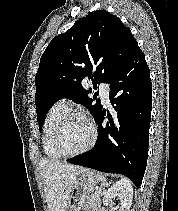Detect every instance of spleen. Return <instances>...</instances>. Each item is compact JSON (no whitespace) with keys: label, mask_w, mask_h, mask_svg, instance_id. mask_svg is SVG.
I'll return each mask as SVG.
<instances>
[{"label":"spleen","mask_w":178,"mask_h":211,"mask_svg":"<svg viewBox=\"0 0 178 211\" xmlns=\"http://www.w3.org/2000/svg\"><path fill=\"white\" fill-rule=\"evenodd\" d=\"M97 179L102 182H106V178L103 175L97 174Z\"/></svg>","instance_id":"obj_1"}]
</instances>
